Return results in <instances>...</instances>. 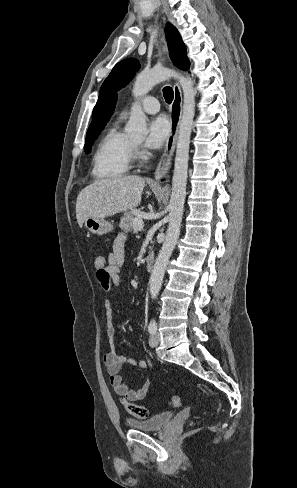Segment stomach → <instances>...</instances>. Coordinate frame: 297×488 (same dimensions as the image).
Instances as JSON below:
<instances>
[{
    "label": "stomach",
    "mask_w": 297,
    "mask_h": 488,
    "mask_svg": "<svg viewBox=\"0 0 297 488\" xmlns=\"http://www.w3.org/2000/svg\"><path fill=\"white\" fill-rule=\"evenodd\" d=\"M85 227L94 234L103 235L112 232L114 226L104 218L88 217L84 221Z\"/></svg>",
    "instance_id": "1"
}]
</instances>
